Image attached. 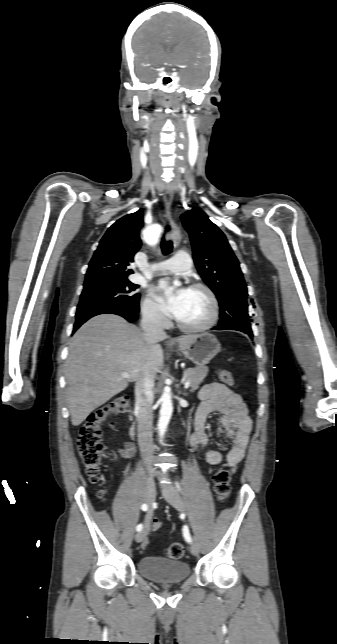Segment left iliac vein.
<instances>
[{
    "label": "left iliac vein",
    "instance_id": "obj_1",
    "mask_svg": "<svg viewBox=\"0 0 337 644\" xmlns=\"http://www.w3.org/2000/svg\"><path fill=\"white\" fill-rule=\"evenodd\" d=\"M162 494L165 500L171 504L174 508L179 511L185 510V504L182 497L172 486H166L162 489ZM190 551L193 555L197 556L199 554V545L196 541H193L190 546Z\"/></svg>",
    "mask_w": 337,
    "mask_h": 644
}]
</instances>
